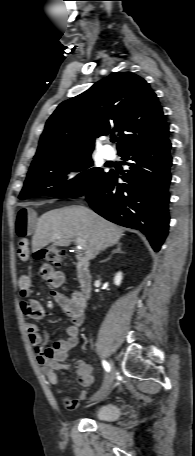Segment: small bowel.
Wrapping results in <instances>:
<instances>
[{
	"instance_id": "1",
	"label": "small bowel",
	"mask_w": 195,
	"mask_h": 456,
	"mask_svg": "<svg viewBox=\"0 0 195 456\" xmlns=\"http://www.w3.org/2000/svg\"><path fill=\"white\" fill-rule=\"evenodd\" d=\"M34 221V214L31 210L21 209L18 211L15 220V233L20 239L18 255L21 260L29 258L28 236L31 234ZM40 277L46 281L53 289L52 297L60 306L64 315L70 320V325L66 329L67 337L56 341L51 347L45 348L48 336L41 334L38 327L33 322L44 317L43 306L35 299L28 298L31 293V278L22 275L18 280V292L25 298L20 303L23 315L26 317V331L28 338L35 352L37 360L42 367L48 382L54 388L56 394L62 399L68 409H75L81 401L87 398V393L82 391L79 396L70 398L66 395L59 384L57 370L61 369L62 364L69 356V353L78 344L79 328L84 322V309L86 300L79 292L66 295L58 289L65 283V274L55 270L48 264H42L39 268ZM78 382L87 387L93 382L92 367L83 360H78L75 366Z\"/></svg>"
}]
</instances>
